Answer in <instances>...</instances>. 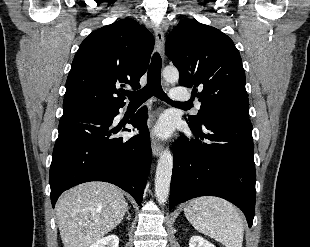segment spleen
<instances>
[{
  "mask_svg": "<svg viewBox=\"0 0 310 247\" xmlns=\"http://www.w3.org/2000/svg\"><path fill=\"white\" fill-rule=\"evenodd\" d=\"M184 214L198 232L226 247H242L244 222L230 202L213 196L195 198L186 204Z\"/></svg>",
  "mask_w": 310,
  "mask_h": 247,
  "instance_id": "1",
  "label": "spleen"
}]
</instances>
